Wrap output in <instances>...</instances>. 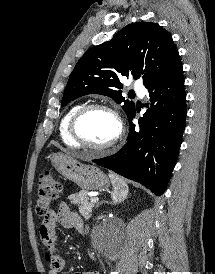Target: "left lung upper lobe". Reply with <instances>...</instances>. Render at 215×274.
<instances>
[{
	"instance_id": "obj_1",
	"label": "left lung upper lobe",
	"mask_w": 215,
	"mask_h": 274,
	"mask_svg": "<svg viewBox=\"0 0 215 274\" xmlns=\"http://www.w3.org/2000/svg\"><path fill=\"white\" fill-rule=\"evenodd\" d=\"M181 66L171 34L151 22L129 24L110 41L89 49L77 62L65 88L61 106L87 94L109 96L127 117L135 104L121 95L122 76L142 78L145 87L161 81Z\"/></svg>"
}]
</instances>
